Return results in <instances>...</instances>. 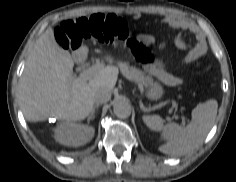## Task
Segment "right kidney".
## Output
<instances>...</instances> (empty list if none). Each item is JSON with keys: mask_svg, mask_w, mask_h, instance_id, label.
I'll use <instances>...</instances> for the list:
<instances>
[{"mask_svg": "<svg viewBox=\"0 0 236 182\" xmlns=\"http://www.w3.org/2000/svg\"><path fill=\"white\" fill-rule=\"evenodd\" d=\"M93 136V127L78 123H63L55 129V140L66 146H82L89 142Z\"/></svg>", "mask_w": 236, "mask_h": 182, "instance_id": "right-kidney-1", "label": "right kidney"}]
</instances>
